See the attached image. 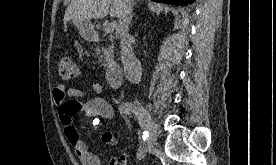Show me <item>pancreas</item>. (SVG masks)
Returning <instances> with one entry per match:
<instances>
[{"mask_svg":"<svg viewBox=\"0 0 276 165\" xmlns=\"http://www.w3.org/2000/svg\"><path fill=\"white\" fill-rule=\"evenodd\" d=\"M114 46L111 45L108 48L97 50V56H99V62L102 66H107V64L113 59L114 57Z\"/></svg>","mask_w":276,"mask_h":165,"instance_id":"cf45deb5","label":"pancreas"}]
</instances>
